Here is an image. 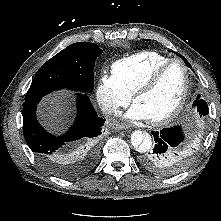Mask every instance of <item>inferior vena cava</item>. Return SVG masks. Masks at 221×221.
I'll use <instances>...</instances> for the list:
<instances>
[{"label":"inferior vena cava","mask_w":221,"mask_h":221,"mask_svg":"<svg viewBox=\"0 0 221 221\" xmlns=\"http://www.w3.org/2000/svg\"><path fill=\"white\" fill-rule=\"evenodd\" d=\"M101 110L105 114H113V113H118L117 107H115L112 104H105L101 107Z\"/></svg>","instance_id":"inferior-vena-cava-1"}]
</instances>
